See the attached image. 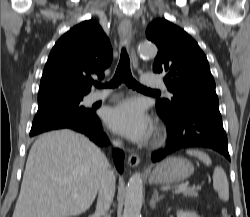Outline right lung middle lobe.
<instances>
[{"instance_id": "obj_1", "label": "right lung middle lobe", "mask_w": 250, "mask_h": 217, "mask_svg": "<svg viewBox=\"0 0 250 217\" xmlns=\"http://www.w3.org/2000/svg\"><path fill=\"white\" fill-rule=\"evenodd\" d=\"M81 101L82 99H76L39 107L30 136L53 129L90 124L95 119V112L84 108Z\"/></svg>"}]
</instances>
